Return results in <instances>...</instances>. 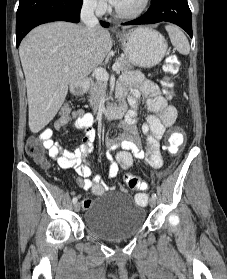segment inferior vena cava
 <instances>
[{
  "label": "inferior vena cava",
  "instance_id": "inferior-vena-cava-1",
  "mask_svg": "<svg viewBox=\"0 0 227 279\" xmlns=\"http://www.w3.org/2000/svg\"><path fill=\"white\" fill-rule=\"evenodd\" d=\"M95 3L92 0H85L81 10V20L88 29L99 26L97 17L94 14Z\"/></svg>",
  "mask_w": 227,
  "mask_h": 279
}]
</instances>
